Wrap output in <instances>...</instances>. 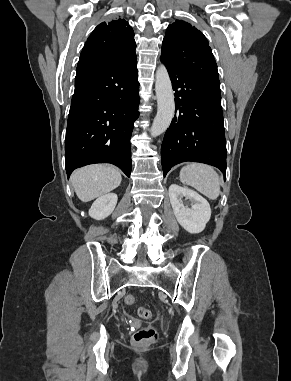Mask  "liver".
Here are the masks:
<instances>
[{
    "mask_svg": "<svg viewBox=\"0 0 291 381\" xmlns=\"http://www.w3.org/2000/svg\"><path fill=\"white\" fill-rule=\"evenodd\" d=\"M120 172L107 165H89L74 171L71 184L82 202H89L103 196L121 183Z\"/></svg>",
    "mask_w": 291,
    "mask_h": 381,
    "instance_id": "1",
    "label": "liver"
}]
</instances>
